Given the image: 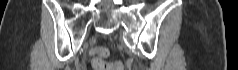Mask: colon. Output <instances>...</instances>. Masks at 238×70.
I'll list each match as a JSON object with an SVG mask.
<instances>
[{
    "instance_id": "colon-1",
    "label": "colon",
    "mask_w": 238,
    "mask_h": 70,
    "mask_svg": "<svg viewBox=\"0 0 238 70\" xmlns=\"http://www.w3.org/2000/svg\"><path fill=\"white\" fill-rule=\"evenodd\" d=\"M92 53L95 55L93 59V67L95 70H122L121 63H106L104 61V58H106L109 54L106 47H96L93 49Z\"/></svg>"
}]
</instances>
